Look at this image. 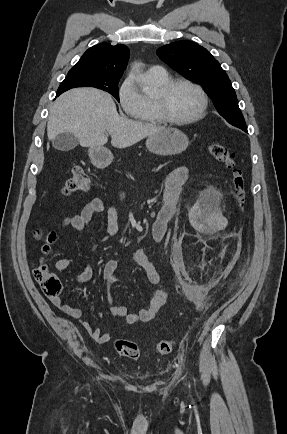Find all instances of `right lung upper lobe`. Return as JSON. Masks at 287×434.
<instances>
[{
  "label": "right lung upper lobe",
  "instance_id": "right-lung-upper-lobe-1",
  "mask_svg": "<svg viewBox=\"0 0 287 434\" xmlns=\"http://www.w3.org/2000/svg\"><path fill=\"white\" fill-rule=\"evenodd\" d=\"M129 59L127 46L101 43L89 48L69 72L92 76L120 78ZM57 96V94H56Z\"/></svg>",
  "mask_w": 287,
  "mask_h": 434
}]
</instances>
